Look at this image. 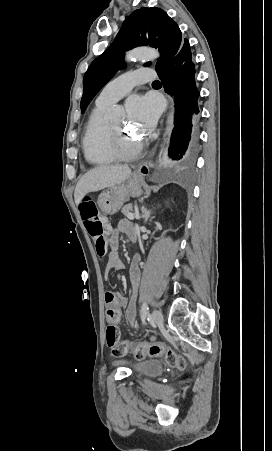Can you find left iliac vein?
<instances>
[{
    "label": "left iliac vein",
    "mask_w": 272,
    "mask_h": 451,
    "mask_svg": "<svg viewBox=\"0 0 272 451\" xmlns=\"http://www.w3.org/2000/svg\"><path fill=\"white\" fill-rule=\"evenodd\" d=\"M152 320H153V322L154 323H156V324H160V323H162L163 322V314H162V312L161 311H159V310H153V312H152Z\"/></svg>",
    "instance_id": "left-iliac-vein-1"
}]
</instances>
